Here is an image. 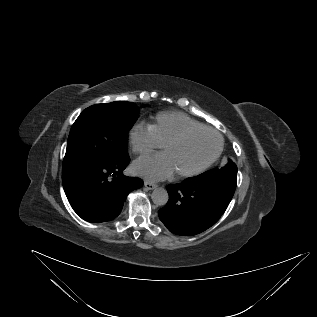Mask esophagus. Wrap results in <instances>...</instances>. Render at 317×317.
<instances>
[{"label": "esophagus", "instance_id": "34e87169", "mask_svg": "<svg viewBox=\"0 0 317 317\" xmlns=\"http://www.w3.org/2000/svg\"><path fill=\"white\" fill-rule=\"evenodd\" d=\"M144 186L148 189V190H153L157 187V185L155 183L149 182V181H145L144 182Z\"/></svg>", "mask_w": 317, "mask_h": 317}]
</instances>
